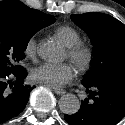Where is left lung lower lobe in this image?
<instances>
[{"mask_svg": "<svg viewBox=\"0 0 125 125\" xmlns=\"http://www.w3.org/2000/svg\"><path fill=\"white\" fill-rule=\"evenodd\" d=\"M90 95L73 115H65L70 125H116L125 116V77H107L91 85L83 84Z\"/></svg>", "mask_w": 125, "mask_h": 125, "instance_id": "0a47b994", "label": "left lung lower lobe"}]
</instances>
